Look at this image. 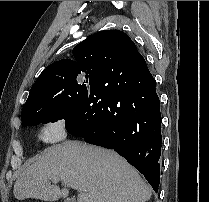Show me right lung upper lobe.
Listing matches in <instances>:
<instances>
[{
    "mask_svg": "<svg viewBox=\"0 0 209 202\" xmlns=\"http://www.w3.org/2000/svg\"><path fill=\"white\" fill-rule=\"evenodd\" d=\"M73 56L74 60L56 61L40 74L30 90L22 113L30 108L33 95L50 78L81 73L99 78L112 71L125 73L131 60L143 58L134 42L120 30H104L93 34L73 48ZM27 123L22 118V126Z\"/></svg>",
    "mask_w": 209,
    "mask_h": 202,
    "instance_id": "1",
    "label": "right lung upper lobe"
}]
</instances>
